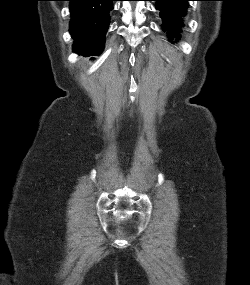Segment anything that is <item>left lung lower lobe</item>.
I'll return each instance as SVG.
<instances>
[{"label": "left lung lower lobe", "instance_id": "0a47b994", "mask_svg": "<svg viewBox=\"0 0 250 285\" xmlns=\"http://www.w3.org/2000/svg\"><path fill=\"white\" fill-rule=\"evenodd\" d=\"M156 1V9L160 11L164 32H167L172 40L178 37L181 28L184 27V19L188 8V1L192 0H153Z\"/></svg>", "mask_w": 250, "mask_h": 285}]
</instances>
